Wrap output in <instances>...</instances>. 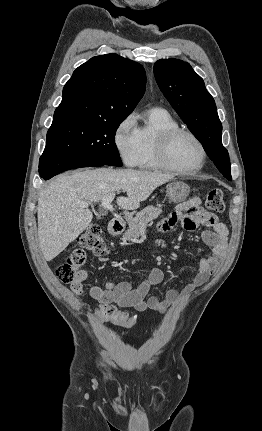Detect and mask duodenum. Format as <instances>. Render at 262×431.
<instances>
[{
  "instance_id": "obj_1",
  "label": "duodenum",
  "mask_w": 262,
  "mask_h": 431,
  "mask_svg": "<svg viewBox=\"0 0 262 431\" xmlns=\"http://www.w3.org/2000/svg\"><path fill=\"white\" fill-rule=\"evenodd\" d=\"M108 230L111 234H120L124 230V222L121 219H112L109 222Z\"/></svg>"
}]
</instances>
